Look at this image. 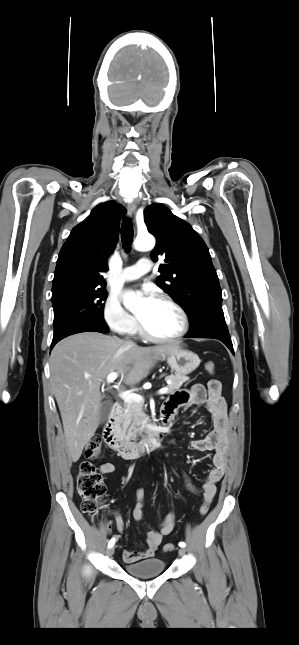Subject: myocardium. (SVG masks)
I'll list each match as a JSON object with an SVG mask.
<instances>
[{
	"label": "myocardium",
	"mask_w": 299,
	"mask_h": 645,
	"mask_svg": "<svg viewBox=\"0 0 299 645\" xmlns=\"http://www.w3.org/2000/svg\"><path fill=\"white\" fill-rule=\"evenodd\" d=\"M157 300L161 301V302H164V303L170 305L173 309H175V311L178 313V315L180 317V322H181L180 328L173 335L159 337V336H155V335L151 334L144 327L142 322L140 320H138V329H139V332L142 335V337H144L145 339H147V340H149L151 342H156V343L173 342V341H177V340L181 339L182 337H184L187 334L188 330H189V318H188V315H187L186 311L184 310V308L178 302H176L173 298H171L168 295H160V296H158Z\"/></svg>",
	"instance_id": "1"
}]
</instances>
